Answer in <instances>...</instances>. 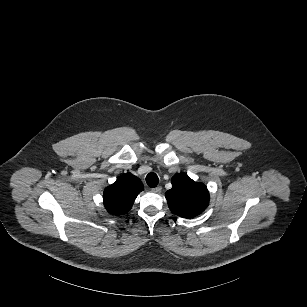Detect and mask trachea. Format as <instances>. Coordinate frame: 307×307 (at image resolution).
I'll list each match as a JSON object with an SVG mask.
<instances>
[{"mask_svg": "<svg viewBox=\"0 0 307 307\" xmlns=\"http://www.w3.org/2000/svg\"><path fill=\"white\" fill-rule=\"evenodd\" d=\"M146 183L148 184L149 187H156L159 183V178L155 173H149L146 176Z\"/></svg>", "mask_w": 307, "mask_h": 307, "instance_id": "1", "label": "trachea"}]
</instances>
